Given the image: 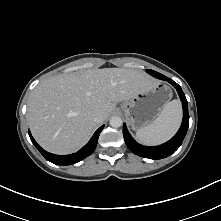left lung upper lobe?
Masks as SVG:
<instances>
[{"label":"left lung upper lobe","mask_w":221,"mask_h":221,"mask_svg":"<svg viewBox=\"0 0 221 221\" xmlns=\"http://www.w3.org/2000/svg\"><path fill=\"white\" fill-rule=\"evenodd\" d=\"M149 74H151L152 76L156 77V78H159L162 76V74L156 72V71H153V70H146Z\"/></svg>","instance_id":"left-lung-upper-lobe-1"}]
</instances>
